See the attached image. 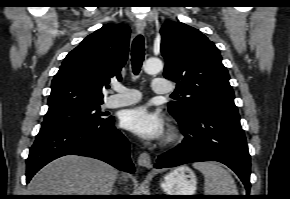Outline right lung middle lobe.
Segmentation results:
<instances>
[{
	"instance_id": "right-lung-middle-lobe-1",
	"label": "right lung middle lobe",
	"mask_w": 290,
	"mask_h": 199,
	"mask_svg": "<svg viewBox=\"0 0 290 199\" xmlns=\"http://www.w3.org/2000/svg\"><path fill=\"white\" fill-rule=\"evenodd\" d=\"M101 104L102 103L93 104L64 112L46 114L42 127L102 123L106 121L108 117H106L104 113L100 112Z\"/></svg>"
}]
</instances>
